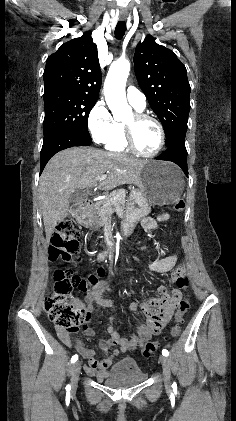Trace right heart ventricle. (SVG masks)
I'll use <instances>...</instances> for the list:
<instances>
[{"mask_svg":"<svg viewBox=\"0 0 236 421\" xmlns=\"http://www.w3.org/2000/svg\"><path fill=\"white\" fill-rule=\"evenodd\" d=\"M105 148L116 153H127L129 151L124 140L123 123L121 121H117L115 131L105 142Z\"/></svg>","mask_w":236,"mask_h":421,"instance_id":"obj_1","label":"right heart ventricle"}]
</instances>
